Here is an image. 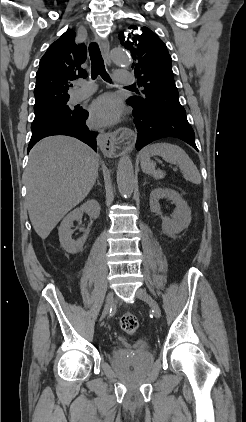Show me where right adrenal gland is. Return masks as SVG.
Listing matches in <instances>:
<instances>
[{
    "instance_id": "obj_1",
    "label": "right adrenal gland",
    "mask_w": 246,
    "mask_h": 422,
    "mask_svg": "<svg viewBox=\"0 0 246 422\" xmlns=\"http://www.w3.org/2000/svg\"><path fill=\"white\" fill-rule=\"evenodd\" d=\"M97 185H100L99 177H97Z\"/></svg>"
}]
</instances>
